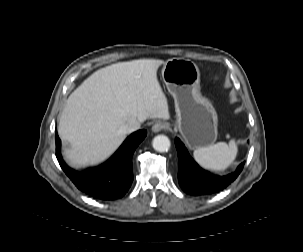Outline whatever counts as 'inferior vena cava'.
Masks as SVG:
<instances>
[{"mask_svg":"<svg viewBox=\"0 0 303 252\" xmlns=\"http://www.w3.org/2000/svg\"><path fill=\"white\" fill-rule=\"evenodd\" d=\"M140 126H141V123L139 121L132 120L123 127V131L125 134H129V133H132V132L140 129Z\"/></svg>","mask_w":303,"mask_h":252,"instance_id":"inferior-vena-cava-1","label":"inferior vena cava"}]
</instances>
